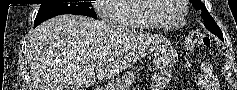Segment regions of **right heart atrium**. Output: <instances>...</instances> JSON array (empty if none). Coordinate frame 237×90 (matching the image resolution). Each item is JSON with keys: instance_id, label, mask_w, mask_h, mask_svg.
Segmentation results:
<instances>
[{"instance_id": "d8ad5b80", "label": "right heart atrium", "mask_w": 237, "mask_h": 90, "mask_svg": "<svg viewBox=\"0 0 237 90\" xmlns=\"http://www.w3.org/2000/svg\"><path fill=\"white\" fill-rule=\"evenodd\" d=\"M110 3H119V0H98V2H95V6H110ZM97 11L102 20L108 19V15L103 12L104 8H97Z\"/></svg>"}]
</instances>
